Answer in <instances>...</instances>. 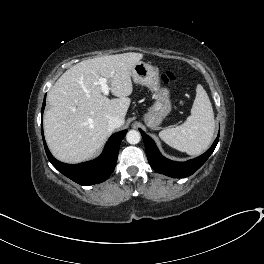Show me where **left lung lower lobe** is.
<instances>
[{
    "label": "left lung lower lobe",
    "mask_w": 264,
    "mask_h": 264,
    "mask_svg": "<svg viewBox=\"0 0 264 264\" xmlns=\"http://www.w3.org/2000/svg\"><path fill=\"white\" fill-rule=\"evenodd\" d=\"M144 140L147 158L151 167L158 173L173 178H184L198 170L213 153L219 139V134L213 145L201 156L186 162H175L162 156L154 141L139 129Z\"/></svg>",
    "instance_id": "1"
}]
</instances>
